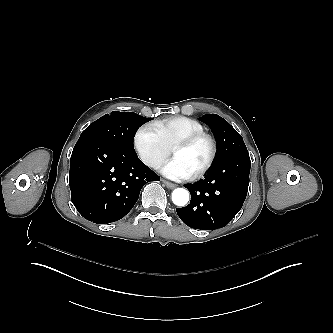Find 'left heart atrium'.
I'll return each mask as SVG.
<instances>
[{
  "instance_id": "1",
  "label": "left heart atrium",
  "mask_w": 333,
  "mask_h": 333,
  "mask_svg": "<svg viewBox=\"0 0 333 333\" xmlns=\"http://www.w3.org/2000/svg\"><path fill=\"white\" fill-rule=\"evenodd\" d=\"M161 173L174 180H187L191 173L176 159H169L161 168Z\"/></svg>"
}]
</instances>
